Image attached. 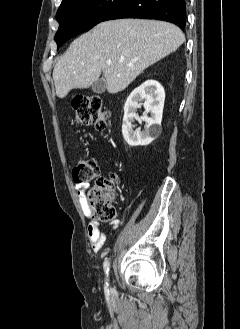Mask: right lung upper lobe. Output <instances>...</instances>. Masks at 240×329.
Here are the masks:
<instances>
[{
	"label": "right lung upper lobe",
	"mask_w": 240,
	"mask_h": 329,
	"mask_svg": "<svg viewBox=\"0 0 240 329\" xmlns=\"http://www.w3.org/2000/svg\"><path fill=\"white\" fill-rule=\"evenodd\" d=\"M70 1H72V0H62V3H61V5H60V7L66 5V4H67L68 2H70ZM60 7H59V8H60Z\"/></svg>",
	"instance_id": "1"
}]
</instances>
